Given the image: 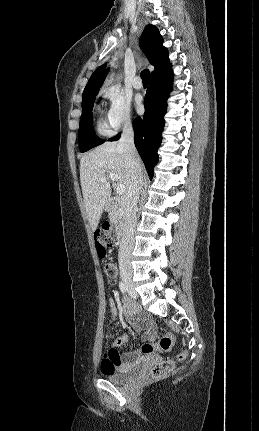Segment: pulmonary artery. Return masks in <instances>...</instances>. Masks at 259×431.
Returning <instances> with one entry per match:
<instances>
[{
    "mask_svg": "<svg viewBox=\"0 0 259 431\" xmlns=\"http://www.w3.org/2000/svg\"><path fill=\"white\" fill-rule=\"evenodd\" d=\"M132 84L135 89H141L143 87V83L140 77H135Z\"/></svg>",
    "mask_w": 259,
    "mask_h": 431,
    "instance_id": "obj_1",
    "label": "pulmonary artery"
}]
</instances>
